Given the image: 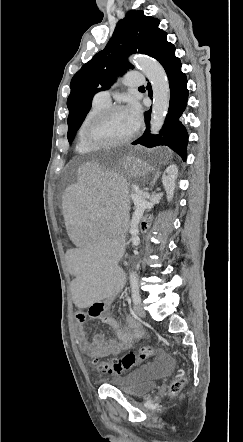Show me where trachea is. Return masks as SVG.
Instances as JSON below:
<instances>
[{"label":"trachea","instance_id":"3493384b","mask_svg":"<svg viewBox=\"0 0 243 442\" xmlns=\"http://www.w3.org/2000/svg\"><path fill=\"white\" fill-rule=\"evenodd\" d=\"M142 88H144V86L139 87V89H142Z\"/></svg>","mask_w":243,"mask_h":442}]
</instances>
